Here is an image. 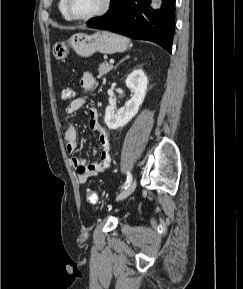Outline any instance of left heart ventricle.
<instances>
[{
    "mask_svg": "<svg viewBox=\"0 0 243 289\" xmlns=\"http://www.w3.org/2000/svg\"><path fill=\"white\" fill-rule=\"evenodd\" d=\"M104 0H70V9L75 16H88L97 12Z\"/></svg>",
    "mask_w": 243,
    "mask_h": 289,
    "instance_id": "1",
    "label": "left heart ventricle"
}]
</instances>
